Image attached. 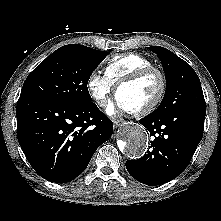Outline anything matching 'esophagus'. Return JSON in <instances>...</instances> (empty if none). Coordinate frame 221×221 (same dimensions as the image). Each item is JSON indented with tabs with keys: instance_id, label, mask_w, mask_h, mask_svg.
<instances>
[{
	"instance_id": "obj_1",
	"label": "esophagus",
	"mask_w": 221,
	"mask_h": 221,
	"mask_svg": "<svg viewBox=\"0 0 221 221\" xmlns=\"http://www.w3.org/2000/svg\"><path fill=\"white\" fill-rule=\"evenodd\" d=\"M124 123V120L123 119H114L113 120V124L114 126L117 128L119 126H121L122 124Z\"/></svg>"
}]
</instances>
